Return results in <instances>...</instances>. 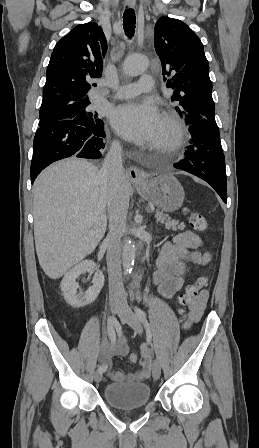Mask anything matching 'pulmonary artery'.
<instances>
[{
    "mask_svg": "<svg viewBox=\"0 0 259 448\" xmlns=\"http://www.w3.org/2000/svg\"><path fill=\"white\" fill-rule=\"evenodd\" d=\"M136 56V54L130 53L125 57L122 63L123 70L127 75L137 76L145 71V67L136 62ZM143 78L152 80V77L149 75H143ZM98 91H102V89H98ZM141 92V89H134L133 84L119 85L117 86V93L115 97L120 99L129 98Z\"/></svg>",
    "mask_w": 259,
    "mask_h": 448,
    "instance_id": "e3ab8cb5",
    "label": "pulmonary artery"
}]
</instances>
